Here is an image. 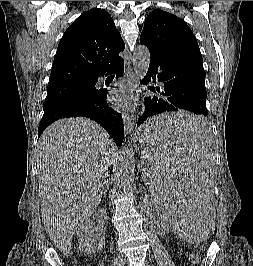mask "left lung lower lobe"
I'll use <instances>...</instances> for the list:
<instances>
[{
    "label": "left lung lower lobe",
    "instance_id": "obj_1",
    "mask_svg": "<svg viewBox=\"0 0 253 266\" xmlns=\"http://www.w3.org/2000/svg\"><path fill=\"white\" fill-rule=\"evenodd\" d=\"M149 51V69L142 83L148 84L151 79H156V73H158V80L162 85L148 86L152 96L144 100L145 111L139 118L137 127L151 116L181 109L207 116L206 73L203 62L183 53ZM150 131L155 136L184 134L198 138L206 133L207 123L203 117L181 125L160 124L151 128Z\"/></svg>",
    "mask_w": 253,
    "mask_h": 266
}]
</instances>
